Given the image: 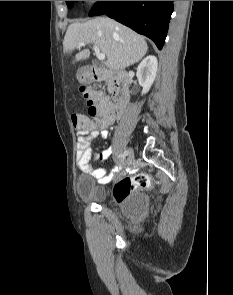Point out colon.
<instances>
[{"instance_id": "1", "label": "colon", "mask_w": 233, "mask_h": 295, "mask_svg": "<svg viewBox=\"0 0 233 295\" xmlns=\"http://www.w3.org/2000/svg\"><path fill=\"white\" fill-rule=\"evenodd\" d=\"M81 92L87 101L88 116L73 112L71 119L77 130H86L97 126L105 117V112L98 105L97 98L99 93L85 86L81 87ZM150 185V178L145 173L135 176H126L120 179L113 188L114 198L123 201L135 188L147 187Z\"/></svg>"}]
</instances>
